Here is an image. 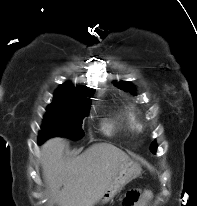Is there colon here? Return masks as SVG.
Returning a JSON list of instances; mask_svg holds the SVG:
<instances>
[{
    "label": "colon",
    "mask_w": 197,
    "mask_h": 206,
    "mask_svg": "<svg viewBox=\"0 0 197 206\" xmlns=\"http://www.w3.org/2000/svg\"><path fill=\"white\" fill-rule=\"evenodd\" d=\"M140 191L138 190H131L128 192L124 199L125 206H131L134 202H136L139 198Z\"/></svg>",
    "instance_id": "1"
}]
</instances>
